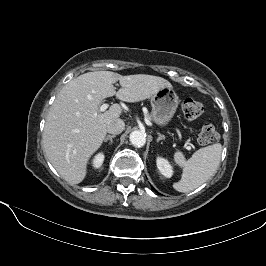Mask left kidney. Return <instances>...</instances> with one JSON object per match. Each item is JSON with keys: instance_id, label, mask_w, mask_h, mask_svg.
<instances>
[{"instance_id": "left-kidney-1", "label": "left kidney", "mask_w": 266, "mask_h": 266, "mask_svg": "<svg viewBox=\"0 0 266 266\" xmlns=\"http://www.w3.org/2000/svg\"><path fill=\"white\" fill-rule=\"evenodd\" d=\"M157 168L159 169L160 173L167 177L170 178L173 174L172 166L169 164V162L161 157H158L156 160Z\"/></svg>"}]
</instances>
